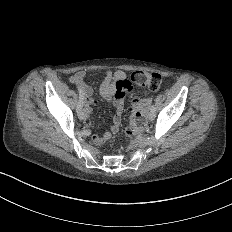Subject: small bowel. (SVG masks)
Instances as JSON below:
<instances>
[{
	"label": "small bowel",
	"mask_w": 232,
	"mask_h": 232,
	"mask_svg": "<svg viewBox=\"0 0 232 232\" xmlns=\"http://www.w3.org/2000/svg\"><path fill=\"white\" fill-rule=\"evenodd\" d=\"M86 76V70H74L70 76V82L73 84H81L84 94V107L81 113L82 119H87L92 113L93 107L98 104L95 98V89L93 86L83 83ZM131 88V82L128 79L127 73L123 69H118L113 75L110 70H103L101 75L100 95L107 100L115 97L116 114L112 125V131L117 132L120 129L121 115L125 103V94ZM111 138L110 133H105L102 136H95L94 142L101 145Z\"/></svg>",
	"instance_id": "small-bowel-1"
}]
</instances>
